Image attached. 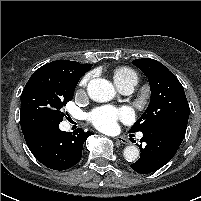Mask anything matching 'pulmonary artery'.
Returning a JSON list of instances; mask_svg holds the SVG:
<instances>
[{"label":"pulmonary artery","mask_w":201,"mask_h":201,"mask_svg":"<svg viewBox=\"0 0 201 201\" xmlns=\"http://www.w3.org/2000/svg\"><path fill=\"white\" fill-rule=\"evenodd\" d=\"M134 84L131 83V84H127L125 86H123L122 88H120V90L124 93V94H129L133 91L134 89ZM142 135H140L139 137H141Z\"/></svg>","instance_id":"1"}]
</instances>
